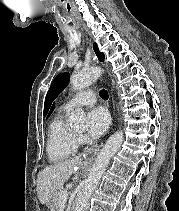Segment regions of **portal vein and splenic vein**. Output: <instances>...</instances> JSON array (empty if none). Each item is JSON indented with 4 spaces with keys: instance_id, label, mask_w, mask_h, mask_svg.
Masks as SVG:
<instances>
[{
    "instance_id": "portal-vein-and-splenic-vein-1",
    "label": "portal vein and splenic vein",
    "mask_w": 179,
    "mask_h": 211,
    "mask_svg": "<svg viewBox=\"0 0 179 211\" xmlns=\"http://www.w3.org/2000/svg\"><path fill=\"white\" fill-rule=\"evenodd\" d=\"M69 192L68 191H62L61 195H60V199H61V203H65L67 200Z\"/></svg>"
}]
</instances>
